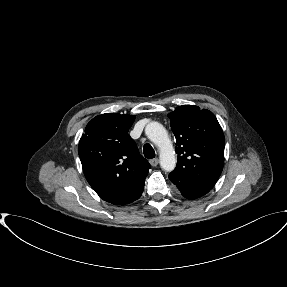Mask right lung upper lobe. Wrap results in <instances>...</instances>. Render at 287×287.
Here are the masks:
<instances>
[{
    "label": "right lung upper lobe",
    "mask_w": 287,
    "mask_h": 287,
    "mask_svg": "<svg viewBox=\"0 0 287 287\" xmlns=\"http://www.w3.org/2000/svg\"><path fill=\"white\" fill-rule=\"evenodd\" d=\"M134 115L106 113L93 118L79 141L84 175L101 199L114 205L137 200L150 169L128 130Z\"/></svg>",
    "instance_id": "right-lung-upper-lobe-1"
}]
</instances>
